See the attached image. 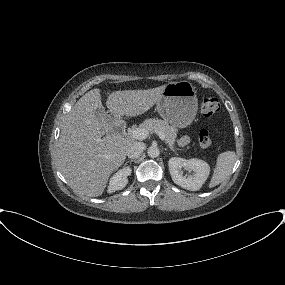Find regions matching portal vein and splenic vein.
<instances>
[{
	"mask_svg": "<svg viewBox=\"0 0 285 285\" xmlns=\"http://www.w3.org/2000/svg\"><path fill=\"white\" fill-rule=\"evenodd\" d=\"M161 140H165V135L161 132H156ZM128 135L137 140H143L148 137L149 131L145 128H133L128 130Z\"/></svg>",
	"mask_w": 285,
	"mask_h": 285,
	"instance_id": "obj_1",
	"label": "portal vein and splenic vein"
}]
</instances>
